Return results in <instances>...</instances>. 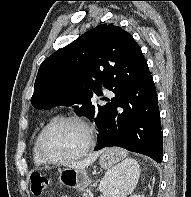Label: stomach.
I'll use <instances>...</instances> for the list:
<instances>
[{"instance_id":"0dacf381","label":"stomach","mask_w":191,"mask_h":197,"mask_svg":"<svg viewBox=\"0 0 191 197\" xmlns=\"http://www.w3.org/2000/svg\"><path fill=\"white\" fill-rule=\"evenodd\" d=\"M120 157L113 153L110 149L103 151L100 157V165L104 169H110L115 166ZM59 181L62 185L83 191L90 183L87 171L83 169L64 168L59 171Z\"/></svg>"}]
</instances>
